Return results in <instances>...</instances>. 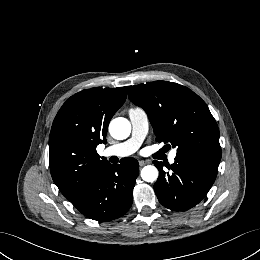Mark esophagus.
<instances>
[{"instance_id": "34e87169", "label": "esophagus", "mask_w": 260, "mask_h": 260, "mask_svg": "<svg viewBox=\"0 0 260 260\" xmlns=\"http://www.w3.org/2000/svg\"><path fill=\"white\" fill-rule=\"evenodd\" d=\"M146 164H149V161L148 160H140L139 161V165L142 167V166H145Z\"/></svg>"}]
</instances>
